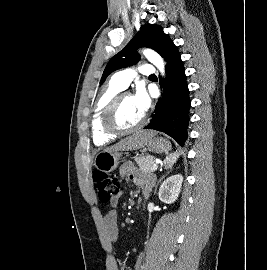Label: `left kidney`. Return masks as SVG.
<instances>
[{"label":"left kidney","mask_w":267,"mask_h":270,"mask_svg":"<svg viewBox=\"0 0 267 270\" xmlns=\"http://www.w3.org/2000/svg\"><path fill=\"white\" fill-rule=\"evenodd\" d=\"M182 182L181 174L168 177L159 188V199L165 203H174L180 194Z\"/></svg>","instance_id":"1"}]
</instances>
